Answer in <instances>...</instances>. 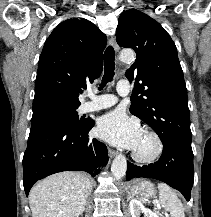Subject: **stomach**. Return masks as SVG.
<instances>
[{"label": "stomach", "mask_w": 211, "mask_h": 217, "mask_svg": "<svg viewBox=\"0 0 211 217\" xmlns=\"http://www.w3.org/2000/svg\"><path fill=\"white\" fill-rule=\"evenodd\" d=\"M131 191L135 194H138L143 197H153L156 193L154 185L148 181V180H143L134 183L131 186Z\"/></svg>", "instance_id": "obj_1"}]
</instances>
